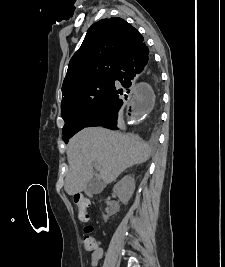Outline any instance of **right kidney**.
<instances>
[{
    "label": "right kidney",
    "instance_id": "ca27d5eb",
    "mask_svg": "<svg viewBox=\"0 0 225 267\" xmlns=\"http://www.w3.org/2000/svg\"><path fill=\"white\" fill-rule=\"evenodd\" d=\"M135 190V180L133 176L126 175L120 181H118L114 187L113 192L117 194L119 200L127 204V202L132 197ZM105 221L107 220L106 216H104Z\"/></svg>",
    "mask_w": 225,
    "mask_h": 267
}]
</instances>
